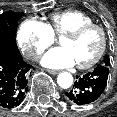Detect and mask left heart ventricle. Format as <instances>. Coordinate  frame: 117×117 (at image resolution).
<instances>
[{
	"mask_svg": "<svg viewBox=\"0 0 117 117\" xmlns=\"http://www.w3.org/2000/svg\"><path fill=\"white\" fill-rule=\"evenodd\" d=\"M60 43L71 51L76 64H83L90 61L98 52L101 35L96 29H91L77 38L62 37Z\"/></svg>",
	"mask_w": 117,
	"mask_h": 117,
	"instance_id": "obj_1",
	"label": "left heart ventricle"
}]
</instances>
